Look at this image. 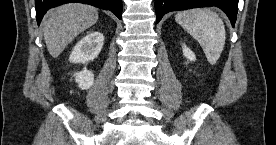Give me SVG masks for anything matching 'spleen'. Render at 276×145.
<instances>
[{
	"mask_svg": "<svg viewBox=\"0 0 276 145\" xmlns=\"http://www.w3.org/2000/svg\"><path fill=\"white\" fill-rule=\"evenodd\" d=\"M175 20L199 42L208 62L214 65L225 45L222 19L210 9L196 8L177 13Z\"/></svg>",
	"mask_w": 276,
	"mask_h": 145,
	"instance_id": "1",
	"label": "spleen"
}]
</instances>
